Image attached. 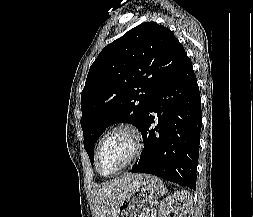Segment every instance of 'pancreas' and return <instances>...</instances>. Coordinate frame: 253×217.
<instances>
[{
    "instance_id": "pancreas-1",
    "label": "pancreas",
    "mask_w": 253,
    "mask_h": 217,
    "mask_svg": "<svg viewBox=\"0 0 253 217\" xmlns=\"http://www.w3.org/2000/svg\"><path fill=\"white\" fill-rule=\"evenodd\" d=\"M153 211H154V210L151 209V210L146 214L145 217H156V214H155Z\"/></svg>"
}]
</instances>
